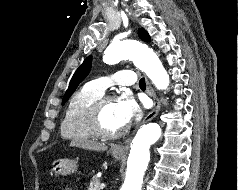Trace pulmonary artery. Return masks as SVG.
<instances>
[{"mask_svg": "<svg viewBox=\"0 0 238 190\" xmlns=\"http://www.w3.org/2000/svg\"><path fill=\"white\" fill-rule=\"evenodd\" d=\"M136 82L135 73L131 70H120L111 76L100 77L90 81L87 86L96 92L103 94L104 91L113 84L119 85H133Z\"/></svg>", "mask_w": 238, "mask_h": 190, "instance_id": "1", "label": "pulmonary artery"}]
</instances>
